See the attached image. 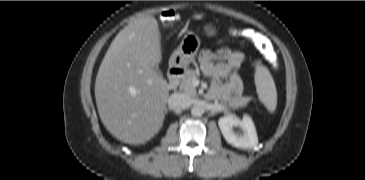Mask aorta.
<instances>
[{
    "instance_id": "aorta-1",
    "label": "aorta",
    "mask_w": 365,
    "mask_h": 180,
    "mask_svg": "<svg viewBox=\"0 0 365 180\" xmlns=\"http://www.w3.org/2000/svg\"><path fill=\"white\" fill-rule=\"evenodd\" d=\"M204 113V109L202 106L200 105H194L192 108H191V114L193 116H196V117H199L201 116L202 114Z\"/></svg>"
}]
</instances>
